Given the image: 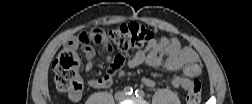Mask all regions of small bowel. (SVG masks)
<instances>
[{
    "label": "small bowel",
    "instance_id": "1",
    "mask_svg": "<svg viewBox=\"0 0 252 104\" xmlns=\"http://www.w3.org/2000/svg\"><path fill=\"white\" fill-rule=\"evenodd\" d=\"M93 57V56H92ZM92 57L86 63L85 69L87 73H91L94 68ZM118 56L109 59L112 66ZM142 64L152 67H161L167 71L181 70V73L174 76L172 85L175 89H188L191 79L197 76L200 71V61L197 53L191 48H182L180 41L172 36H159L151 39L148 44L141 50L126 54V65L129 68H136ZM113 76L106 74L99 78L90 77L88 84L92 88L102 89L111 86ZM141 82L146 87H154L156 81L149 77H144ZM81 93L77 96L68 94V98L77 102L81 99Z\"/></svg>",
    "mask_w": 252,
    "mask_h": 104
}]
</instances>
